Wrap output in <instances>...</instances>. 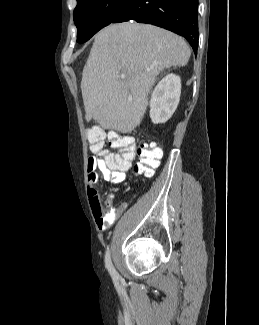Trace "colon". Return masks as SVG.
I'll use <instances>...</instances> for the list:
<instances>
[{"mask_svg": "<svg viewBox=\"0 0 259 325\" xmlns=\"http://www.w3.org/2000/svg\"><path fill=\"white\" fill-rule=\"evenodd\" d=\"M86 136L90 144V148L95 153H102L105 140L111 147L118 151V166L120 168L131 167L136 155L139 161L134 165L135 175H144L150 177L154 174V170L159 166L162 156L161 149L151 144H141L136 146L133 139L128 136H122L116 133L105 135L99 128H89L86 130Z\"/></svg>", "mask_w": 259, "mask_h": 325, "instance_id": "obj_1", "label": "colon"}]
</instances>
